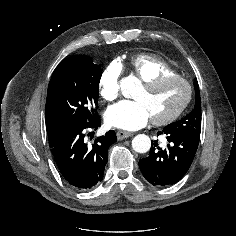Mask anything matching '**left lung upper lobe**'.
I'll return each instance as SVG.
<instances>
[{"instance_id": "left-lung-upper-lobe-1", "label": "left lung upper lobe", "mask_w": 236, "mask_h": 236, "mask_svg": "<svg viewBox=\"0 0 236 236\" xmlns=\"http://www.w3.org/2000/svg\"><path fill=\"white\" fill-rule=\"evenodd\" d=\"M194 88L196 93L195 108L183 119L169 124V129L189 132L200 136L201 132V99L197 79H194Z\"/></svg>"}]
</instances>
